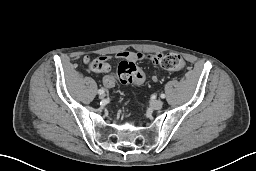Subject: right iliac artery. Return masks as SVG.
<instances>
[{"instance_id": "1", "label": "right iliac artery", "mask_w": 256, "mask_h": 171, "mask_svg": "<svg viewBox=\"0 0 256 171\" xmlns=\"http://www.w3.org/2000/svg\"><path fill=\"white\" fill-rule=\"evenodd\" d=\"M104 92H105L104 89H99V90H98V93H99V94H102V93H104Z\"/></svg>"}]
</instances>
